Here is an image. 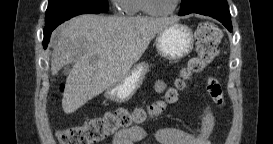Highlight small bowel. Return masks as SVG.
<instances>
[{
    "label": "small bowel",
    "instance_id": "c3829d8e",
    "mask_svg": "<svg viewBox=\"0 0 273 144\" xmlns=\"http://www.w3.org/2000/svg\"><path fill=\"white\" fill-rule=\"evenodd\" d=\"M165 88V82L159 80L155 84L156 92L160 93ZM205 91L216 105L223 104V92L221 86L214 78H208L204 85ZM215 126V116L212 108L208 106L202 119L201 129L197 133H191L179 128H163L149 132L140 126H134L119 131L112 139V144H136L146 138H153L159 144H208L209 136Z\"/></svg>",
    "mask_w": 273,
    "mask_h": 144
}]
</instances>
